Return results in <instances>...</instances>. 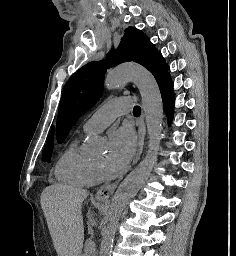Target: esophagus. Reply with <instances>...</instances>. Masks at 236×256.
<instances>
[{
	"label": "esophagus",
	"instance_id": "obj_1",
	"mask_svg": "<svg viewBox=\"0 0 236 256\" xmlns=\"http://www.w3.org/2000/svg\"><path fill=\"white\" fill-rule=\"evenodd\" d=\"M137 137H138V148L135 155V158L133 160V165L136 164L142 154L143 147H144V141H145V134H146V128H145V121H144V113L142 112L137 124ZM122 179V176L119 178V180L115 183L106 184L105 186H102L97 192H96V198L98 200H108L110 196L114 193V191L117 188V185Z\"/></svg>",
	"mask_w": 236,
	"mask_h": 256
}]
</instances>
